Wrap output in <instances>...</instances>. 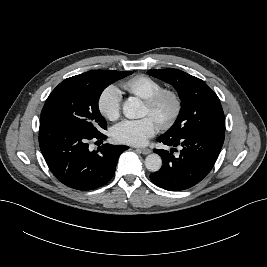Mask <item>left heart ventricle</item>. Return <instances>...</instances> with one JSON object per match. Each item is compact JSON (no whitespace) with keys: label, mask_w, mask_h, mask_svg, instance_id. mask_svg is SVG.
Segmentation results:
<instances>
[{"label":"left heart ventricle","mask_w":267,"mask_h":267,"mask_svg":"<svg viewBox=\"0 0 267 267\" xmlns=\"http://www.w3.org/2000/svg\"><path fill=\"white\" fill-rule=\"evenodd\" d=\"M171 110H172V103L169 99H166L159 107V109L155 112L150 111L149 108L146 105H144L142 115L152 117L158 124L160 121L165 119L170 114Z\"/></svg>","instance_id":"1"}]
</instances>
